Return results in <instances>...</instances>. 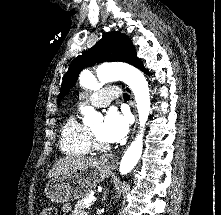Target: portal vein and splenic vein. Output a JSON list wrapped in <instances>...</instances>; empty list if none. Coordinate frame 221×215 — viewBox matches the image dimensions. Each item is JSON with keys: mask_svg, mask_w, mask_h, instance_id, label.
Returning a JSON list of instances; mask_svg holds the SVG:
<instances>
[{"mask_svg": "<svg viewBox=\"0 0 221 215\" xmlns=\"http://www.w3.org/2000/svg\"><path fill=\"white\" fill-rule=\"evenodd\" d=\"M96 200H97L96 197H91V198L89 199V201H96Z\"/></svg>", "mask_w": 221, "mask_h": 215, "instance_id": "1", "label": "portal vein and splenic vein"}]
</instances>
